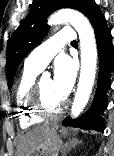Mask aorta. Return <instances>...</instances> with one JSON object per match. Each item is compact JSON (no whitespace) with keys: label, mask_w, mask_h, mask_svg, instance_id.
Listing matches in <instances>:
<instances>
[{"label":"aorta","mask_w":114,"mask_h":156,"mask_svg":"<svg viewBox=\"0 0 114 156\" xmlns=\"http://www.w3.org/2000/svg\"><path fill=\"white\" fill-rule=\"evenodd\" d=\"M69 22L78 32L81 50V72L78 88L71 108V117L76 118L86 106L94 84L97 48L94 31L88 19L80 12L63 9L53 14L49 25Z\"/></svg>","instance_id":"1"}]
</instances>
